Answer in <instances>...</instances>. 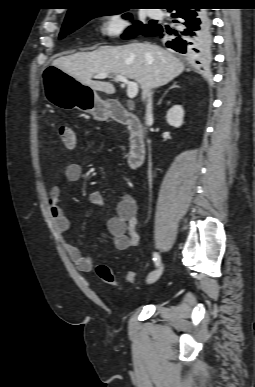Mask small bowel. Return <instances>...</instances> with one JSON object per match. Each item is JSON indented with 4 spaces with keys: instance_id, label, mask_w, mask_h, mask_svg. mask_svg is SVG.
Here are the masks:
<instances>
[{
    "instance_id": "1",
    "label": "small bowel",
    "mask_w": 255,
    "mask_h": 387,
    "mask_svg": "<svg viewBox=\"0 0 255 387\" xmlns=\"http://www.w3.org/2000/svg\"><path fill=\"white\" fill-rule=\"evenodd\" d=\"M65 179L68 182H77L82 176V167L78 163H70L64 171ZM61 196V187L58 183L54 184L49 192V212L54 222L55 228L60 233L69 231L71 227L70 220L64 214L59 205ZM90 204L98 209L104 208V198L99 191H93L88 196ZM138 225L137 205L130 196H124L117 204L114 213L106 221V229L112 240L113 247L118 251H124L139 244L140 236L136 231ZM70 259L74 262L76 268L81 272H89L93 268V260L85 256L73 244L65 245Z\"/></svg>"
}]
</instances>
